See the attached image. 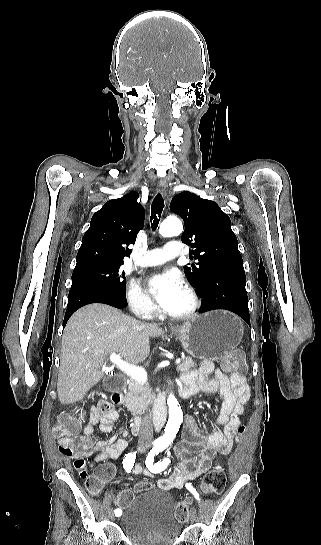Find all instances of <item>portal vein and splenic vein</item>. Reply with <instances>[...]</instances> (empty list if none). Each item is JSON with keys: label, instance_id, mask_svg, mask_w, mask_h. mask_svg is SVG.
I'll use <instances>...</instances> for the list:
<instances>
[{"label": "portal vein and splenic vein", "instance_id": "obj_1", "mask_svg": "<svg viewBox=\"0 0 321 545\" xmlns=\"http://www.w3.org/2000/svg\"><path fill=\"white\" fill-rule=\"evenodd\" d=\"M110 361L116 365L117 369H120L125 375L131 377V379H135L138 383H147L148 375L142 367H136V365H130V363L122 361L120 355H116V353H111ZM176 364H180V357H177Z\"/></svg>", "mask_w": 321, "mask_h": 545}]
</instances>
